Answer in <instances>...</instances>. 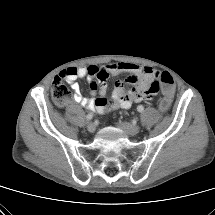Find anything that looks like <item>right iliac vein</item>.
<instances>
[{
    "instance_id": "right-iliac-vein-1",
    "label": "right iliac vein",
    "mask_w": 215,
    "mask_h": 215,
    "mask_svg": "<svg viewBox=\"0 0 215 215\" xmlns=\"http://www.w3.org/2000/svg\"><path fill=\"white\" fill-rule=\"evenodd\" d=\"M87 130H88L89 132H94V131L96 130V125H95L94 123H89V124L87 125Z\"/></svg>"
}]
</instances>
